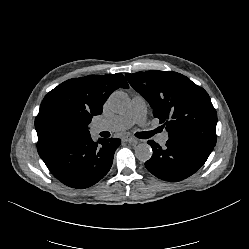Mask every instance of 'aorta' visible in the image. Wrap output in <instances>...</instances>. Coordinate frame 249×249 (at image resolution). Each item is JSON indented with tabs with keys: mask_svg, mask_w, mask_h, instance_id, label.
<instances>
[{
	"mask_svg": "<svg viewBox=\"0 0 249 249\" xmlns=\"http://www.w3.org/2000/svg\"><path fill=\"white\" fill-rule=\"evenodd\" d=\"M130 104L129 97L122 91H115L107 101L109 109L116 113L125 112ZM135 156L139 161H148L152 157V148L147 143L138 144L135 148Z\"/></svg>",
	"mask_w": 249,
	"mask_h": 249,
	"instance_id": "1",
	"label": "aorta"
}]
</instances>
